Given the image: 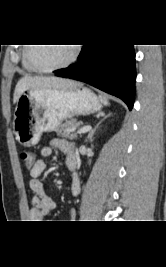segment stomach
I'll use <instances>...</instances> for the list:
<instances>
[{
    "label": "stomach",
    "instance_id": "obj_1",
    "mask_svg": "<svg viewBox=\"0 0 166 267\" xmlns=\"http://www.w3.org/2000/svg\"><path fill=\"white\" fill-rule=\"evenodd\" d=\"M102 109L100 101L89 89H30L17 102L13 130L23 146L36 145L43 132H51L67 119L89 115Z\"/></svg>",
    "mask_w": 166,
    "mask_h": 267
}]
</instances>
